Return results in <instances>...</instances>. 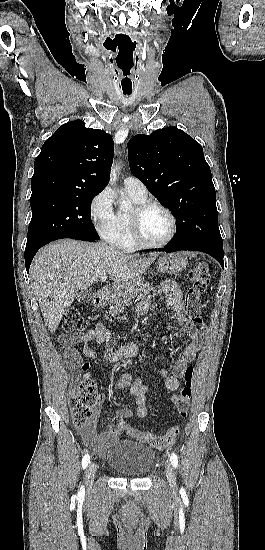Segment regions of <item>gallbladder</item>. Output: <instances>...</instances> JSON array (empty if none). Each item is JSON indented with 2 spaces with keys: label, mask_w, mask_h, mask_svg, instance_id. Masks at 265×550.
Listing matches in <instances>:
<instances>
[{
  "label": "gallbladder",
  "mask_w": 265,
  "mask_h": 550,
  "mask_svg": "<svg viewBox=\"0 0 265 550\" xmlns=\"http://www.w3.org/2000/svg\"><path fill=\"white\" fill-rule=\"evenodd\" d=\"M94 293L91 290H83L77 294V299L80 302H89L93 299Z\"/></svg>",
  "instance_id": "1"
}]
</instances>
